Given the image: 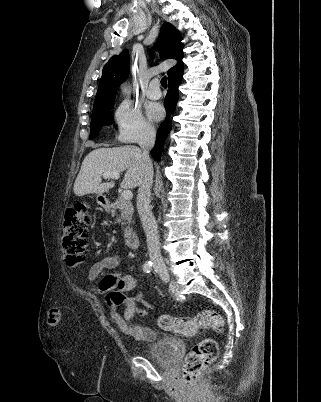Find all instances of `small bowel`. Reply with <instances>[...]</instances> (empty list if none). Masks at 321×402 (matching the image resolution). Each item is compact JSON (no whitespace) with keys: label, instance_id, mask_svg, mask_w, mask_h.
Masks as SVG:
<instances>
[{"label":"small bowel","instance_id":"1","mask_svg":"<svg viewBox=\"0 0 321 402\" xmlns=\"http://www.w3.org/2000/svg\"><path fill=\"white\" fill-rule=\"evenodd\" d=\"M121 260L122 254L118 253L105 257L96 262L89 273L90 278H96L104 270L118 267L121 263ZM136 286V280L134 277L129 275L120 276L118 274H113L105 277L101 281L100 290L102 292H109L117 288L124 293H131L136 289ZM135 313H138L141 316L147 315V311L145 309L138 308L133 299H127L124 302L123 313H119L117 308L114 306L109 307L110 318L122 333L137 341H153L156 337L155 330L150 327L141 326L134 323L132 319Z\"/></svg>","mask_w":321,"mask_h":402}]
</instances>
